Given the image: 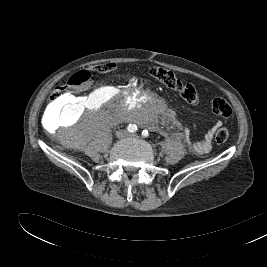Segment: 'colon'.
<instances>
[{"label": "colon", "instance_id": "colon-1", "mask_svg": "<svg viewBox=\"0 0 267 267\" xmlns=\"http://www.w3.org/2000/svg\"><path fill=\"white\" fill-rule=\"evenodd\" d=\"M115 65L112 63L101 64L94 69L99 72H109L114 69ZM151 78L158 81L165 87L175 90L179 93L181 98L188 104L195 105L199 101V95L196 88L190 83L182 82L172 71L154 66L148 71ZM91 75L87 70H81L73 74L66 85L58 87L50 97V103L56 105L63 100L71 99V89H76L85 86L90 81ZM212 111L222 117L230 118L232 116V107L229 102L221 97L214 98L211 103ZM229 137V131L225 127H220L215 135V140L218 144H223Z\"/></svg>", "mask_w": 267, "mask_h": 267}]
</instances>
